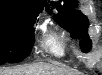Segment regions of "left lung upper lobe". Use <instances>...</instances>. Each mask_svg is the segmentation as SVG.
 <instances>
[{
  "label": "left lung upper lobe",
  "mask_w": 102,
  "mask_h": 75,
  "mask_svg": "<svg viewBox=\"0 0 102 75\" xmlns=\"http://www.w3.org/2000/svg\"><path fill=\"white\" fill-rule=\"evenodd\" d=\"M64 2V6L55 3L59 15H54V20L67 29L73 38L80 39V46L86 52L91 48V40L87 34L88 19L80 12L71 9L77 0H64Z\"/></svg>",
  "instance_id": "obj_1"
}]
</instances>
